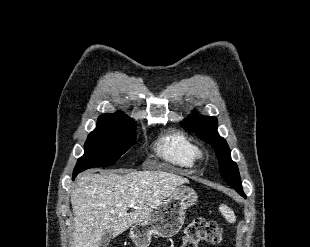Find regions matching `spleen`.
Returning a JSON list of instances; mask_svg holds the SVG:
<instances>
[{
    "mask_svg": "<svg viewBox=\"0 0 310 247\" xmlns=\"http://www.w3.org/2000/svg\"><path fill=\"white\" fill-rule=\"evenodd\" d=\"M219 209H220L222 215L225 217V219L229 223H235L236 216H235L234 212L228 206H226L225 204H222Z\"/></svg>",
    "mask_w": 310,
    "mask_h": 247,
    "instance_id": "1",
    "label": "spleen"
}]
</instances>
